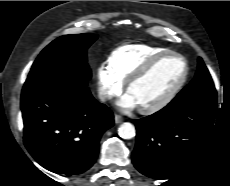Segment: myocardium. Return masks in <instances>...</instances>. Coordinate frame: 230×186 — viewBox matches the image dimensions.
<instances>
[{
    "label": "myocardium",
    "mask_w": 230,
    "mask_h": 186,
    "mask_svg": "<svg viewBox=\"0 0 230 186\" xmlns=\"http://www.w3.org/2000/svg\"><path fill=\"white\" fill-rule=\"evenodd\" d=\"M168 56H176L183 61L184 73L182 77L180 78V80L160 100L156 101L155 103L151 105L139 107L140 112L144 114H153L163 109L175 98V96L183 88V86L185 85L188 79L189 71H190V67H189V63L187 59L183 55L175 51L168 50V51L162 52L160 54H157L151 57L148 61H146L137 71H135L126 80L125 89L128 92L131 85H133L135 82H137L138 80L146 76L159 61H161L162 59Z\"/></svg>",
    "instance_id": "obj_1"
}]
</instances>
